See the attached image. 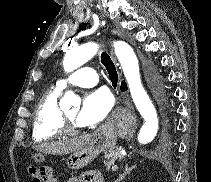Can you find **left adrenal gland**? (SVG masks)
I'll return each instance as SVG.
<instances>
[{
    "label": "left adrenal gland",
    "instance_id": "obj_1",
    "mask_svg": "<svg viewBox=\"0 0 211 182\" xmlns=\"http://www.w3.org/2000/svg\"><path fill=\"white\" fill-rule=\"evenodd\" d=\"M136 167V165H133L132 167H129L128 164L125 165V171L123 174H121L118 179L115 182H121L125 179V177Z\"/></svg>",
    "mask_w": 211,
    "mask_h": 182
}]
</instances>
